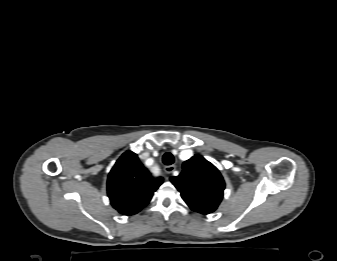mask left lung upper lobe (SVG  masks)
I'll return each instance as SVG.
<instances>
[{"mask_svg":"<svg viewBox=\"0 0 337 261\" xmlns=\"http://www.w3.org/2000/svg\"><path fill=\"white\" fill-rule=\"evenodd\" d=\"M182 172L170 180L181 193L189 208L201 214H210L219 206L225 182L219 170L200 155L185 161Z\"/></svg>","mask_w":337,"mask_h":261,"instance_id":"left-lung-upper-lobe-1","label":"left lung upper lobe"}]
</instances>
